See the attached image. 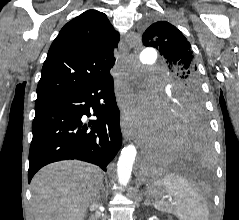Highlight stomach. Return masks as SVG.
<instances>
[{
    "label": "stomach",
    "instance_id": "stomach-1",
    "mask_svg": "<svg viewBox=\"0 0 239 220\" xmlns=\"http://www.w3.org/2000/svg\"><path fill=\"white\" fill-rule=\"evenodd\" d=\"M148 193L152 196H161L166 193V188L162 186H155L154 184L149 185Z\"/></svg>",
    "mask_w": 239,
    "mask_h": 220
}]
</instances>
